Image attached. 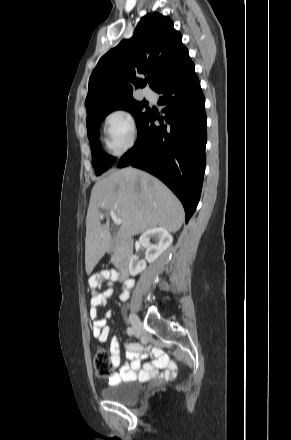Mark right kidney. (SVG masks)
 Returning <instances> with one entry per match:
<instances>
[{
	"label": "right kidney",
	"instance_id": "1",
	"mask_svg": "<svg viewBox=\"0 0 291 440\" xmlns=\"http://www.w3.org/2000/svg\"><path fill=\"white\" fill-rule=\"evenodd\" d=\"M154 244H150V240ZM173 242L170 233L162 227H155L145 231L139 238V243L146 248V261L134 255L129 263V273L135 276L146 269V262H154Z\"/></svg>",
	"mask_w": 291,
	"mask_h": 440
}]
</instances>
